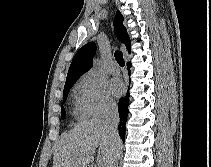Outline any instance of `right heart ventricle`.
Listing matches in <instances>:
<instances>
[{
  "label": "right heart ventricle",
  "mask_w": 211,
  "mask_h": 167,
  "mask_svg": "<svg viewBox=\"0 0 211 167\" xmlns=\"http://www.w3.org/2000/svg\"><path fill=\"white\" fill-rule=\"evenodd\" d=\"M74 114H75L76 117H79V118H84L86 116L85 113L81 110V108L78 104V100H77V103L75 105Z\"/></svg>",
  "instance_id": "e07e8e85"
}]
</instances>
